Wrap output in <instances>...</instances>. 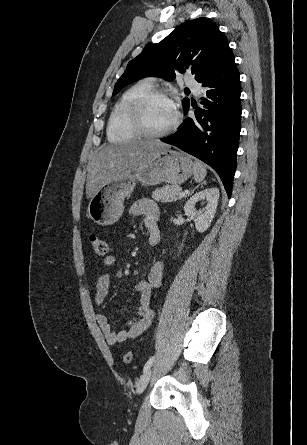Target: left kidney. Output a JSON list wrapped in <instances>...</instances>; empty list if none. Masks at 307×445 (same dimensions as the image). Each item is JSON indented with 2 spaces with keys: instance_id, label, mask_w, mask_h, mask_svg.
<instances>
[{
  "instance_id": "5707ae66",
  "label": "left kidney",
  "mask_w": 307,
  "mask_h": 445,
  "mask_svg": "<svg viewBox=\"0 0 307 445\" xmlns=\"http://www.w3.org/2000/svg\"><path fill=\"white\" fill-rule=\"evenodd\" d=\"M218 188H205V190H200L193 194L189 200H187L184 210L186 216H196L195 227L196 231L199 233H204L209 229L213 216H215L218 198H219ZM199 200H207V206H204L202 210H196V202Z\"/></svg>"
}]
</instances>
